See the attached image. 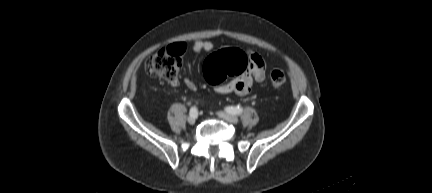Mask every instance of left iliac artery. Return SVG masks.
<instances>
[{
	"label": "left iliac artery",
	"instance_id": "44dca946",
	"mask_svg": "<svg viewBox=\"0 0 432 193\" xmlns=\"http://www.w3.org/2000/svg\"><path fill=\"white\" fill-rule=\"evenodd\" d=\"M228 113L230 114H234V115H238L241 114L243 112V108H241L240 106H229L226 107L225 109Z\"/></svg>",
	"mask_w": 432,
	"mask_h": 193
}]
</instances>
